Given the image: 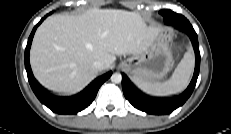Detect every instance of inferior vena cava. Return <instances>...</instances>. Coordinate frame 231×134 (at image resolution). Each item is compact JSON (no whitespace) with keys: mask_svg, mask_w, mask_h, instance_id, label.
<instances>
[{"mask_svg":"<svg viewBox=\"0 0 231 134\" xmlns=\"http://www.w3.org/2000/svg\"><path fill=\"white\" fill-rule=\"evenodd\" d=\"M103 67H104V64H103V62H101V61H95V62L92 64V68H93L96 72L102 70Z\"/></svg>","mask_w":231,"mask_h":134,"instance_id":"obj_1","label":"inferior vena cava"}]
</instances>
